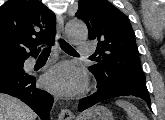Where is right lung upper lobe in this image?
<instances>
[{"mask_svg": "<svg viewBox=\"0 0 165 120\" xmlns=\"http://www.w3.org/2000/svg\"><path fill=\"white\" fill-rule=\"evenodd\" d=\"M55 29V15L39 0H8L0 7V63L37 56Z\"/></svg>", "mask_w": 165, "mask_h": 120, "instance_id": "right-lung-upper-lobe-1", "label": "right lung upper lobe"}]
</instances>
